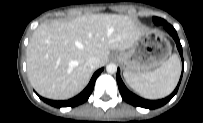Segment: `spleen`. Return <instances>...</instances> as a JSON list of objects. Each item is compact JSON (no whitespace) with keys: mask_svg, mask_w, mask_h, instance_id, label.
<instances>
[{"mask_svg":"<svg viewBox=\"0 0 203 123\" xmlns=\"http://www.w3.org/2000/svg\"><path fill=\"white\" fill-rule=\"evenodd\" d=\"M181 72L178 55L173 54L159 68L144 73L124 72L127 84L147 99H160L169 95L177 85Z\"/></svg>","mask_w":203,"mask_h":123,"instance_id":"3e777b00","label":"spleen"}]
</instances>
